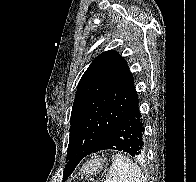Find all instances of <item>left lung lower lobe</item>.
Wrapping results in <instances>:
<instances>
[{
	"label": "left lung lower lobe",
	"instance_id": "0a47b994",
	"mask_svg": "<svg viewBox=\"0 0 196 182\" xmlns=\"http://www.w3.org/2000/svg\"><path fill=\"white\" fill-rule=\"evenodd\" d=\"M144 126L139 111V100L118 120L112 130L105 136L100 144L91 152L101 150H118L132 156L140 157L144 154L143 141ZM90 152L73 148L67 155L68 162L73 161L77 165Z\"/></svg>",
	"mask_w": 196,
	"mask_h": 182
}]
</instances>
